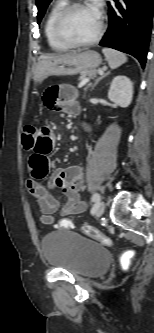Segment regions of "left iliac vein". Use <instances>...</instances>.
Instances as JSON below:
<instances>
[{
  "label": "left iliac vein",
  "instance_id": "obj_1",
  "mask_svg": "<svg viewBox=\"0 0 154 333\" xmlns=\"http://www.w3.org/2000/svg\"><path fill=\"white\" fill-rule=\"evenodd\" d=\"M105 210V203L103 201H100L97 203L96 209H95V215L96 217H101Z\"/></svg>",
  "mask_w": 154,
  "mask_h": 333
}]
</instances>
